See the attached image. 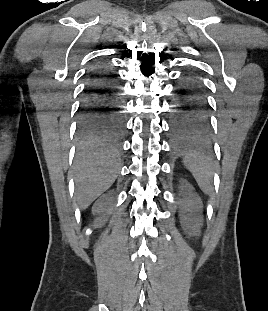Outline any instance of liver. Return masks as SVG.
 I'll list each match as a JSON object with an SVG mask.
<instances>
[{
  "label": "liver",
  "instance_id": "obj_1",
  "mask_svg": "<svg viewBox=\"0 0 268 311\" xmlns=\"http://www.w3.org/2000/svg\"><path fill=\"white\" fill-rule=\"evenodd\" d=\"M117 155L108 149L83 150L75 160L77 196L86 209L114 182L118 172Z\"/></svg>",
  "mask_w": 268,
  "mask_h": 311
}]
</instances>
